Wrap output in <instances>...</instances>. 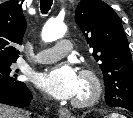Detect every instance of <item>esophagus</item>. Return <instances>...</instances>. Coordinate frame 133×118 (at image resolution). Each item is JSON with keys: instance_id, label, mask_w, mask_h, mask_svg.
<instances>
[{"instance_id": "34e87169", "label": "esophagus", "mask_w": 133, "mask_h": 118, "mask_svg": "<svg viewBox=\"0 0 133 118\" xmlns=\"http://www.w3.org/2000/svg\"><path fill=\"white\" fill-rule=\"evenodd\" d=\"M58 114L60 118H73L70 111L66 108H60Z\"/></svg>"}]
</instances>
